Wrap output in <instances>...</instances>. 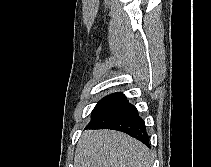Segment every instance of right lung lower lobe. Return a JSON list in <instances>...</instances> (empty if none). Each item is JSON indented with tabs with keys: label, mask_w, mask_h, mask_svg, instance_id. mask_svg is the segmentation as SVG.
Instances as JSON below:
<instances>
[{
	"label": "right lung lower lobe",
	"mask_w": 211,
	"mask_h": 167,
	"mask_svg": "<svg viewBox=\"0 0 211 167\" xmlns=\"http://www.w3.org/2000/svg\"><path fill=\"white\" fill-rule=\"evenodd\" d=\"M86 129L122 131L150 147L145 122L140 118L136 107L130 104L124 95L111 104L99 117L91 121Z\"/></svg>",
	"instance_id": "obj_1"
}]
</instances>
